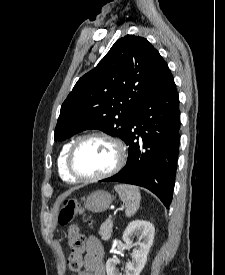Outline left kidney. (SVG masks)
<instances>
[{
	"instance_id": "left-kidney-1",
	"label": "left kidney",
	"mask_w": 225,
	"mask_h": 275,
	"mask_svg": "<svg viewBox=\"0 0 225 275\" xmlns=\"http://www.w3.org/2000/svg\"><path fill=\"white\" fill-rule=\"evenodd\" d=\"M155 228L153 224L144 220L131 222L123 233V241L126 244L132 243V238L138 235L140 242L138 248L132 252V261L126 263V272L123 275H139L143 270L149 250L153 244ZM119 263L117 258H110L106 262L107 275H122L116 268Z\"/></svg>"
}]
</instances>
